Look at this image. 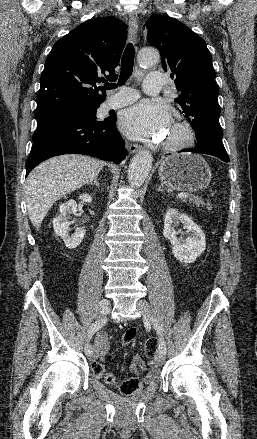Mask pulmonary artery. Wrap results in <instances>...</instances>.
I'll return each mask as SVG.
<instances>
[{"label": "pulmonary artery", "mask_w": 257, "mask_h": 439, "mask_svg": "<svg viewBox=\"0 0 257 439\" xmlns=\"http://www.w3.org/2000/svg\"><path fill=\"white\" fill-rule=\"evenodd\" d=\"M165 83V77L161 73H148L143 82V89L148 94L159 93ZM138 97L137 93L130 88H123L118 94L110 97L106 106L108 108H119L125 106Z\"/></svg>", "instance_id": "1"}]
</instances>
